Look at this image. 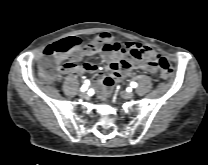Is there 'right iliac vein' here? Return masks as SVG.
<instances>
[{
	"mask_svg": "<svg viewBox=\"0 0 208 165\" xmlns=\"http://www.w3.org/2000/svg\"><path fill=\"white\" fill-rule=\"evenodd\" d=\"M80 96L83 98H86L88 96V93L83 91V92H81Z\"/></svg>",
	"mask_w": 208,
	"mask_h": 165,
	"instance_id": "obj_1",
	"label": "right iliac vein"
}]
</instances>
